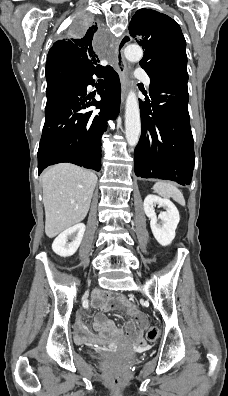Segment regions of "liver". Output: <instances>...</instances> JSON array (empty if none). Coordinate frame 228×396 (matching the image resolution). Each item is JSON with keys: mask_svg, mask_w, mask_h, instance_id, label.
<instances>
[{"mask_svg": "<svg viewBox=\"0 0 228 396\" xmlns=\"http://www.w3.org/2000/svg\"><path fill=\"white\" fill-rule=\"evenodd\" d=\"M97 176L70 163L56 164L42 175L45 233L49 238L86 217Z\"/></svg>", "mask_w": 228, "mask_h": 396, "instance_id": "liver-1", "label": "liver"}]
</instances>
